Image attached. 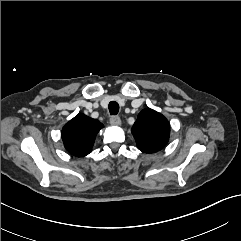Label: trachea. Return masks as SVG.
Listing matches in <instances>:
<instances>
[{"label":"trachea","instance_id":"1","mask_svg":"<svg viewBox=\"0 0 241 241\" xmlns=\"http://www.w3.org/2000/svg\"><path fill=\"white\" fill-rule=\"evenodd\" d=\"M109 112L111 115H116L119 112V104L116 101L109 103Z\"/></svg>","mask_w":241,"mask_h":241}]
</instances>
